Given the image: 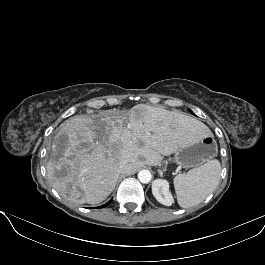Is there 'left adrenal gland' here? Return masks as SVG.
Wrapping results in <instances>:
<instances>
[{
    "mask_svg": "<svg viewBox=\"0 0 265 265\" xmlns=\"http://www.w3.org/2000/svg\"><path fill=\"white\" fill-rule=\"evenodd\" d=\"M160 176H163V170H158Z\"/></svg>",
    "mask_w": 265,
    "mask_h": 265,
    "instance_id": "left-adrenal-gland-1",
    "label": "left adrenal gland"
}]
</instances>
